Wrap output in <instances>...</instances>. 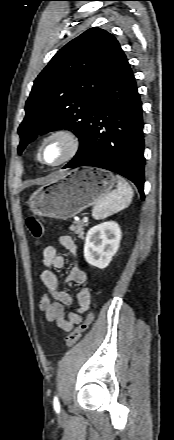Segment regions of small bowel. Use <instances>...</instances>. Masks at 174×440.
Listing matches in <instances>:
<instances>
[{
	"mask_svg": "<svg viewBox=\"0 0 174 440\" xmlns=\"http://www.w3.org/2000/svg\"><path fill=\"white\" fill-rule=\"evenodd\" d=\"M60 243L70 253L76 254L77 245L70 236H61ZM42 257L44 269L40 278L45 287V293L39 302V309L49 322L56 323L64 331H71L75 325L81 323L82 314L89 309L91 303L90 291L83 286L87 281V274L76 264L64 282H60L55 270L65 266L64 257L57 252L54 246L45 247ZM70 283L81 286L77 293V307L72 306L73 299L65 290V285ZM66 307H70V309L66 310Z\"/></svg>",
	"mask_w": 174,
	"mask_h": 440,
	"instance_id": "1",
	"label": "small bowel"
}]
</instances>
